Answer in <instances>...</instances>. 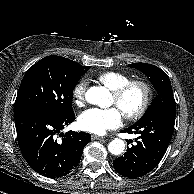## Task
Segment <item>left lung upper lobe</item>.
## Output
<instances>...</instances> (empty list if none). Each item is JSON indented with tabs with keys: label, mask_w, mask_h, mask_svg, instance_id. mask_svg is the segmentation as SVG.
<instances>
[{
	"label": "left lung upper lobe",
	"mask_w": 194,
	"mask_h": 194,
	"mask_svg": "<svg viewBox=\"0 0 194 194\" xmlns=\"http://www.w3.org/2000/svg\"><path fill=\"white\" fill-rule=\"evenodd\" d=\"M128 66L143 72L157 90V96L146 113L157 108L176 105L169 77L162 69L147 63H133Z\"/></svg>",
	"instance_id": "5c2ea615"
}]
</instances>
